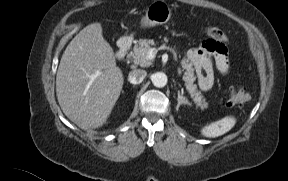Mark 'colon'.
Returning <instances> with one entry per match:
<instances>
[{
    "instance_id": "colon-1",
    "label": "colon",
    "mask_w": 288,
    "mask_h": 181,
    "mask_svg": "<svg viewBox=\"0 0 288 181\" xmlns=\"http://www.w3.org/2000/svg\"><path fill=\"white\" fill-rule=\"evenodd\" d=\"M208 34L210 36V39L206 42V44L217 51H224L225 44L227 42V36L225 35V33L219 28H210L208 30ZM242 95L243 91L241 89L231 88L224 99V103L227 106H231L238 100H240Z\"/></svg>"
}]
</instances>
